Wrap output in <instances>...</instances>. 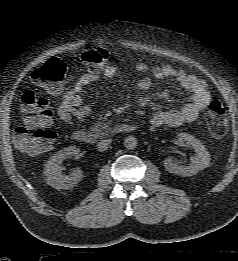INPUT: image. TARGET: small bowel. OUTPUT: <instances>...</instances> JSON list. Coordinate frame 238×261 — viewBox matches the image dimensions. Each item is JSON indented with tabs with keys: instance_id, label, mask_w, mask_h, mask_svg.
Here are the masks:
<instances>
[{
	"instance_id": "obj_1",
	"label": "small bowel",
	"mask_w": 238,
	"mask_h": 261,
	"mask_svg": "<svg viewBox=\"0 0 238 261\" xmlns=\"http://www.w3.org/2000/svg\"><path fill=\"white\" fill-rule=\"evenodd\" d=\"M135 69L140 73H144L148 71L149 66L145 62H138L135 65ZM118 70L119 67L117 65H107L103 75L106 78H111ZM151 74L152 77H144L138 81L137 85L140 90H150L156 81L173 79L190 94V101L180 109L155 113L151 119V123L155 127H178L184 123L193 122L210 103L211 95L205 81L188 74L182 69L171 65L159 64L151 68ZM98 78V73L87 72L63 95L62 101L56 110L57 120L60 124L73 125L74 119L84 120L90 115L91 107L84 103L81 93L86 86L94 83Z\"/></svg>"
}]
</instances>
